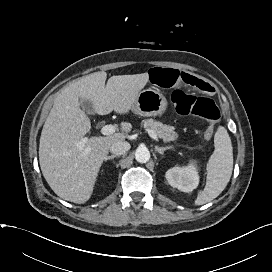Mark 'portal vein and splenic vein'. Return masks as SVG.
<instances>
[{
  "label": "portal vein and splenic vein",
  "instance_id": "obj_1",
  "mask_svg": "<svg viewBox=\"0 0 272 272\" xmlns=\"http://www.w3.org/2000/svg\"><path fill=\"white\" fill-rule=\"evenodd\" d=\"M115 126L114 125H105L101 128V133L103 135H111L115 132ZM148 134L150 135L151 138H153L155 141H159L157 134L150 129H147ZM88 138L84 137L81 139V141L79 142L80 145H84L87 142Z\"/></svg>",
  "mask_w": 272,
  "mask_h": 272
}]
</instances>
